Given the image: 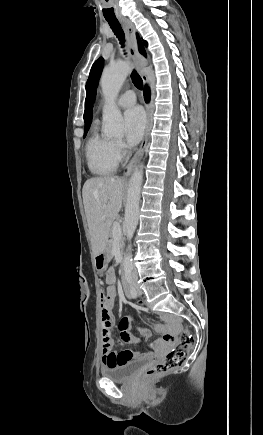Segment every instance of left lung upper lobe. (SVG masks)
<instances>
[{
  "instance_id": "left-lung-upper-lobe-1",
  "label": "left lung upper lobe",
  "mask_w": 263,
  "mask_h": 435,
  "mask_svg": "<svg viewBox=\"0 0 263 435\" xmlns=\"http://www.w3.org/2000/svg\"><path fill=\"white\" fill-rule=\"evenodd\" d=\"M145 46H147V42L144 41ZM104 65V59L102 57H100L99 59H97L94 64L92 65V68L90 70V74H89V78L87 80L86 83V92H87V96H86V100H85V105L87 108V114H88V118H87V123L85 125V132H84V137L89 129V126L91 124L92 121V104L94 103V99H95V95H96V87L99 81V77L102 71Z\"/></svg>"
}]
</instances>
